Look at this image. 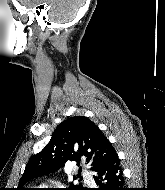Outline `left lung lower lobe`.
<instances>
[{"instance_id": "0a47b994", "label": "left lung lower lobe", "mask_w": 165, "mask_h": 190, "mask_svg": "<svg viewBox=\"0 0 165 190\" xmlns=\"http://www.w3.org/2000/svg\"><path fill=\"white\" fill-rule=\"evenodd\" d=\"M93 178L100 186L97 190H126L120 161L116 153L94 171Z\"/></svg>"}]
</instances>
